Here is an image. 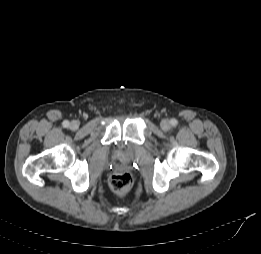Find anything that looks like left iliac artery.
I'll return each instance as SVG.
<instances>
[{"label": "left iliac artery", "mask_w": 261, "mask_h": 254, "mask_svg": "<svg viewBox=\"0 0 261 254\" xmlns=\"http://www.w3.org/2000/svg\"><path fill=\"white\" fill-rule=\"evenodd\" d=\"M170 123L175 127L178 124V121L176 119H171Z\"/></svg>", "instance_id": "44dca946"}]
</instances>
